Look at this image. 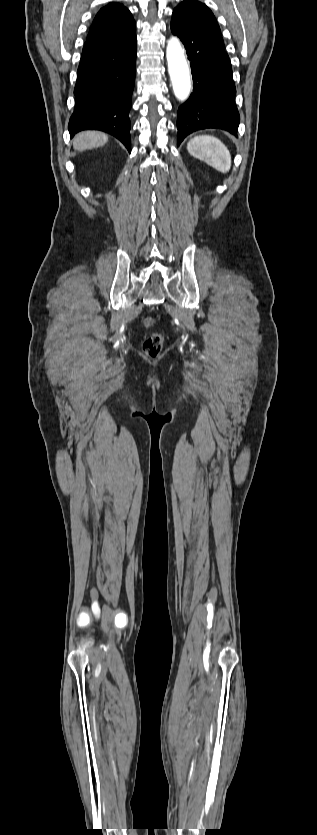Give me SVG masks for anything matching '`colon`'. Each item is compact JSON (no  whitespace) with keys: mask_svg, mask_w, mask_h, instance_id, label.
Here are the masks:
<instances>
[{"mask_svg":"<svg viewBox=\"0 0 317 835\" xmlns=\"http://www.w3.org/2000/svg\"><path fill=\"white\" fill-rule=\"evenodd\" d=\"M156 320L152 316H147L143 320V325L146 328L153 327ZM164 343V337L160 333H153L148 336L143 342V351L150 357H155L159 354Z\"/></svg>","mask_w":317,"mask_h":835,"instance_id":"5ec220e1","label":"colon"}]
</instances>
